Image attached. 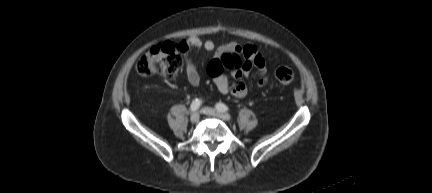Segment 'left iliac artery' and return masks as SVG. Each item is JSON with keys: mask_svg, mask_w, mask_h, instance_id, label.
<instances>
[{"mask_svg": "<svg viewBox=\"0 0 432 193\" xmlns=\"http://www.w3.org/2000/svg\"><path fill=\"white\" fill-rule=\"evenodd\" d=\"M215 107L217 110L222 111V112H226L229 110L228 106H226L224 103H221V102L217 103Z\"/></svg>", "mask_w": 432, "mask_h": 193, "instance_id": "obj_1", "label": "left iliac artery"}]
</instances>
